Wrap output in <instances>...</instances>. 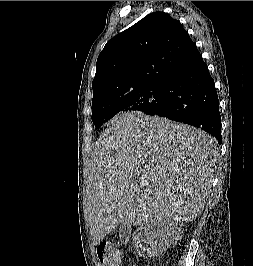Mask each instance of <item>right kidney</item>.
I'll return each mask as SVG.
<instances>
[{"label": "right kidney", "instance_id": "1", "mask_svg": "<svg viewBox=\"0 0 253 266\" xmlns=\"http://www.w3.org/2000/svg\"><path fill=\"white\" fill-rule=\"evenodd\" d=\"M183 226L182 222L176 220L141 225L132 235L133 245L143 258L160 256L182 237Z\"/></svg>", "mask_w": 253, "mask_h": 266}]
</instances>
